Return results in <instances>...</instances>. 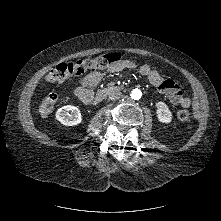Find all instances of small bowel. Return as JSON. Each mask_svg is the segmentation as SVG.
<instances>
[{"instance_id":"small-bowel-1","label":"small bowel","mask_w":221,"mask_h":221,"mask_svg":"<svg viewBox=\"0 0 221 221\" xmlns=\"http://www.w3.org/2000/svg\"><path fill=\"white\" fill-rule=\"evenodd\" d=\"M134 63L131 61H120L113 65L109 71L119 72L126 69H133ZM139 72L146 77L148 81L162 94H165L170 102L183 108H189L191 101L185 97L177 83L170 79H164L157 70L149 65L139 67ZM103 74L98 71H92L81 79L80 85L75 89V94L83 102H87L92 96L91 88L95 87L101 80Z\"/></svg>"}]
</instances>
